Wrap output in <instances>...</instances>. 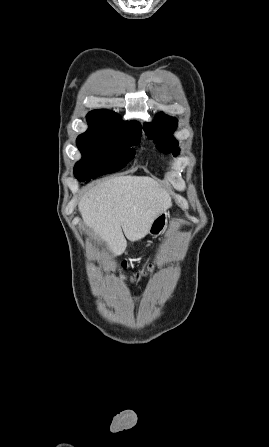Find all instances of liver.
<instances>
[{
  "instance_id": "obj_1",
  "label": "liver",
  "mask_w": 269,
  "mask_h": 447,
  "mask_svg": "<svg viewBox=\"0 0 269 447\" xmlns=\"http://www.w3.org/2000/svg\"><path fill=\"white\" fill-rule=\"evenodd\" d=\"M167 190L148 176H119L85 192L78 208L83 222L106 241L114 255L144 237L156 216L170 208ZM124 233H123V231Z\"/></svg>"
}]
</instances>
